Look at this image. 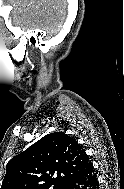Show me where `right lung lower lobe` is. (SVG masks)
Wrapping results in <instances>:
<instances>
[{
	"label": "right lung lower lobe",
	"mask_w": 124,
	"mask_h": 189,
	"mask_svg": "<svg viewBox=\"0 0 124 189\" xmlns=\"http://www.w3.org/2000/svg\"><path fill=\"white\" fill-rule=\"evenodd\" d=\"M97 173L92 163L79 175L65 183L62 189H99Z\"/></svg>",
	"instance_id": "obj_1"
}]
</instances>
